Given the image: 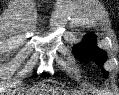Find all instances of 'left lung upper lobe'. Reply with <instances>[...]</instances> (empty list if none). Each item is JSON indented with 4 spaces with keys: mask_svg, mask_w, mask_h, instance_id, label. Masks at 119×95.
<instances>
[{
    "mask_svg": "<svg viewBox=\"0 0 119 95\" xmlns=\"http://www.w3.org/2000/svg\"><path fill=\"white\" fill-rule=\"evenodd\" d=\"M94 41L95 35L88 34L85 36L82 43L74 46L73 50L78 59L87 61L88 59L93 58L95 59L96 64H98L102 68L103 63L107 59V55L105 51L95 46ZM102 71L105 75V78H107V71H105L104 69Z\"/></svg>",
    "mask_w": 119,
    "mask_h": 95,
    "instance_id": "left-lung-upper-lobe-1",
    "label": "left lung upper lobe"
}]
</instances>
